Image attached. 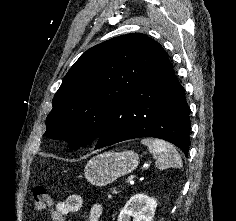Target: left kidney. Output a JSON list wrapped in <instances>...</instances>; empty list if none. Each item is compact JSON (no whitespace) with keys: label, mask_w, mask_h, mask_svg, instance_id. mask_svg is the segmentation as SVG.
<instances>
[{"label":"left kidney","mask_w":236,"mask_h":221,"mask_svg":"<svg viewBox=\"0 0 236 221\" xmlns=\"http://www.w3.org/2000/svg\"><path fill=\"white\" fill-rule=\"evenodd\" d=\"M157 200L145 194L132 196L121 210L118 221H153Z\"/></svg>","instance_id":"left-kidney-1"}]
</instances>
